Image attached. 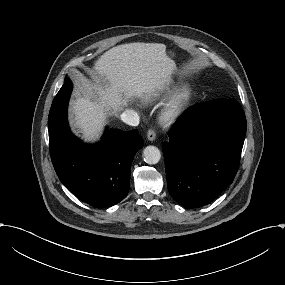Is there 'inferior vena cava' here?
I'll return each mask as SVG.
<instances>
[{"mask_svg": "<svg viewBox=\"0 0 285 285\" xmlns=\"http://www.w3.org/2000/svg\"><path fill=\"white\" fill-rule=\"evenodd\" d=\"M121 119L123 122L133 127H137L140 122L139 115L131 109H125L121 115Z\"/></svg>", "mask_w": 285, "mask_h": 285, "instance_id": "obj_1", "label": "inferior vena cava"}]
</instances>
